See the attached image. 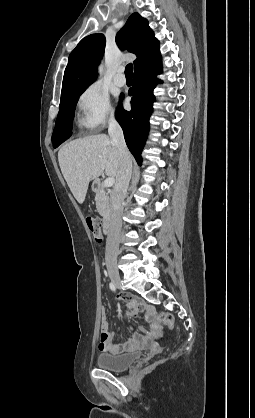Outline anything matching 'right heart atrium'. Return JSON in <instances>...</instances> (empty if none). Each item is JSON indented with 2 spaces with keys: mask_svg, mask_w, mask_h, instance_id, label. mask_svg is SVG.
I'll return each mask as SVG.
<instances>
[{
  "mask_svg": "<svg viewBox=\"0 0 255 418\" xmlns=\"http://www.w3.org/2000/svg\"><path fill=\"white\" fill-rule=\"evenodd\" d=\"M78 123L81 128L95 130L114 119L108 93L98 84L89 85L77 102Z\"/></svg>",
  "mask_w": 255,
  "mask_h": 418,
  "instance_id": "1",
  "label": "right heart atrium"
}]
</instances>
